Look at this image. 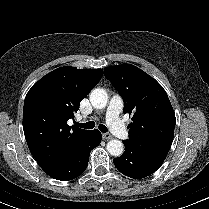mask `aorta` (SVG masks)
I'll list each match as a JSON object with an SVG mask.
<instances>
[{
  "label": "aorta",
  "instance_id": "aorta-1",
  "mask_svg": "<svg viewBox=\"0 0 209 209\" xmlns=\"http://www.w3.org/2000/svg\"><path fill=\"white\" fill-rule=\"evenodd\" d=\"M90 102L96 109H103L108 102V94L102 88H95L90 93ZM107 151L110 155L118 157L124 152V145L120 140L113 139L107 143Z\"/></svg>",
  "mask_w": 209,
  "mask_h": 209
}]
</instances>
